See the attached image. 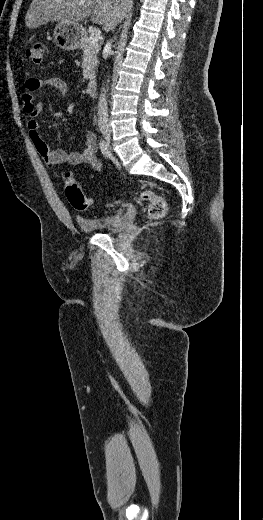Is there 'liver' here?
I'll return each instance as SVG.
<instances>
[{
	"label": "liver",
	"mask_w": 263,
	"mask_h": 520,
	"mask_svg": "<svg viewBox=\"0 0 263 520\" xmlns=\"http://www.w3.org/2000/svg\"><path fill=\"white\" fill-rule=\"evenodd\" d=\"M131 0H32L25 17L34 29L49 21L78 23L91 17L95 24L112 30L126 15Z\"/></svg>",
	"instance_id": "liver-1"
}]
</instances>
